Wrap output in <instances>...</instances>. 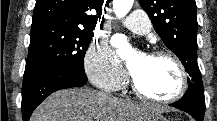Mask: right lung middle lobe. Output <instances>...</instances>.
<instances>
[{
    "instance_id": "1",
    "label": "right lung middle lobe",
    "mask_w": 217,
    "mask_h": 121,
    "mask_svg": "<svg viewBox=\"0 0 217 121\" xmlns=\"http://www.w3.org/2000/svg\"><path fill=\"white\" fill-rule=\"evenodd\" d=\"M92 36L93 28L55 22L32 25L24 73L56 66L85 73L84 55Z\"/></svg>"
}]
</instances>
